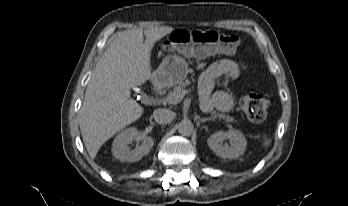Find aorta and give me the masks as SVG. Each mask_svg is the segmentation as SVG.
<instances>
[{
  "label": "aorta",
  "instance_id": "762f6f07",
  "mask_svg": "<svg viewBox=\"0 0 348 206\" xmlns=\"http://www.w3.org/2000/svg\"><path fill=\"white\" fill-rule=\"evenodd\" d=\"M177 129L182 136H190L193 133L194 126L190 120L184 119L178 123Z\"/></svg>",
  "mask_w": 348,
  "mask_h": 206
}]
</instances>
